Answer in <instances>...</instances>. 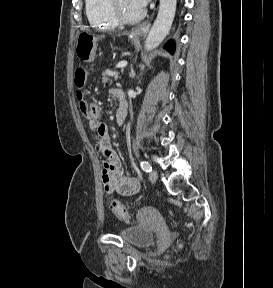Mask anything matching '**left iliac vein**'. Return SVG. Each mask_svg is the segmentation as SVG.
Masks as SVG:
<instances>
[{"instance_id": "left-iliac-vein-1", "label": "left iliac vein", "mask_w": 273, "mask_h": 288, "mask_svg": "<svg viewBox=\"0 0 273 288\" xmlns=\"http://www.w3.org/2000/svg\"><path fill=\"white\" fill-rule=\"evenodd\" d=\"M157 178H158V174L155 170L149 173V179L152 183H155L157 181Z\"/></svg>"}]
</instances>
